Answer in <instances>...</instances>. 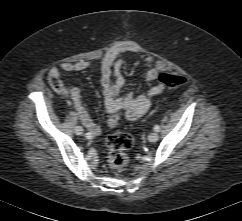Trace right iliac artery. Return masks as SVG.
<instances>
[{
  "mask_svg": "<svg viewBox=\"0 0 242 221\" xmlns=\"http://www.w3.org/2000/svg\"><path fill=\"white\" fill-rule=\"evenodd\" d=\"M86 137L89 139V138H91L92 136H91L90 133H86Z\"/></svg>",
  "mask_w": 242,
  "mask_h": 221,
  "instance_id": "right-iliac-artery-1",
  "label": "right iliac artery"
}]
</instances>
